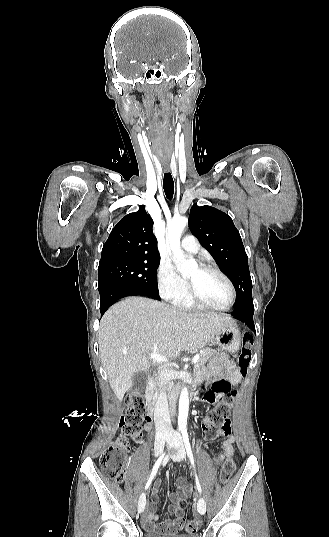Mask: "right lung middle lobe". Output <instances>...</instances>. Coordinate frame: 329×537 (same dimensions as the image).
<instances>
[{"mask_svg":"<svg viewBox=\"0 0 329 537\" xmlns=\"http://www.w3.org/2000/svg\"><path fill=\"white\" fill-rule=\"evenodd\" d=\"M160 259L147 261H116L99 265L98 286L115 284L159 293L157 269Z\"/></svg>","mask_w":329,"mask_h":537,"instance_id":"obj_1","label":"right lung middle lobe"}]
</instances>
